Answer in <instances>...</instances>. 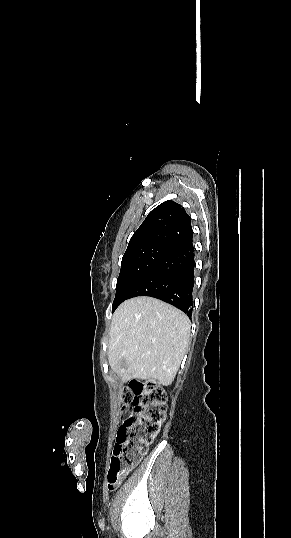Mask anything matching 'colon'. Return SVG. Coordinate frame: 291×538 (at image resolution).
<instances>
[{
    "label": "colon",
    "mask_w": 291,
    "mask_h": 538,
    "mask_svg": "<svg viewBox=\"0 0 291 538\" xmlns=\"http://www.w3.org/2000/svg\"><path fill=\"white\" fill-rule=\"evenodd\" d=\"M122 398V424L107 471L110 491L140 461L147 446L159 434L166 415V394L155 382L133 380L124 389Z\"/></svg>",
    "instance_id": "5ec220e1"
}]
</instances>
